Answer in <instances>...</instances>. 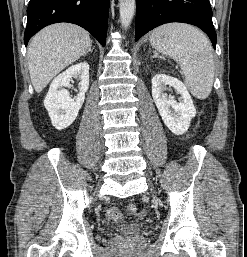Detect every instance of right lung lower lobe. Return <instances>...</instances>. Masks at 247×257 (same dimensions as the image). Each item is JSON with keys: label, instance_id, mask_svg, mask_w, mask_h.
Masks as SVG:
<instances>
[{"label": "right lung lower lobe", "instance_id": "1", "mask_svg": "<svg viewBox=\"0 0 247 257\" xmlns=\"http://www.w3.org/2000/svg\"><path fill=\"white\" fill-rule=\"evenodd\" d=\"M110 0H30L24 43L40 29L58 22L77 24L105 46Z\"/></svg>", "mask_w": 247, "mask_h": 257}]
</instances>
